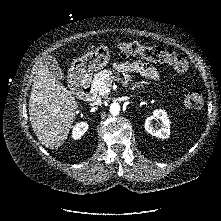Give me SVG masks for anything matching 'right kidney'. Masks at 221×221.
Wrapping results in <instances>:
<instances>
[{
    "label": "right kidney",
    "instance_id": "ca27d5eb",
    "mask_svg": "<svg viewBox=\"0 0 221 221\" xmlns=\"http://www.w3.org/2000/svg\"><path fill=\"white\" fill-rule=\"evenodd\" d=\"M88 124L85 122L77 124L72 131V137L73 139L77 140L81 138V136L87 131Z\"/></svg>",
    "mask_w": 221,
    "mask_h": 221
}]
</instances>
